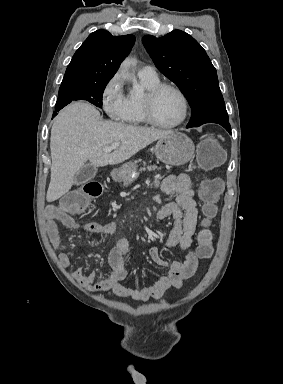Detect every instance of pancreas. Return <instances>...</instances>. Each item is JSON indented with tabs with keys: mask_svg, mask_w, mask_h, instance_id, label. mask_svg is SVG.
<instances>
[{
	"mask_svg": "<svg viewBox=\"0 0 283 384\" xmlns=\"http://www.w3.org/2000/svg\"><path fill=\"white\" fill-rule=\"evenodd\" d=\"M145 170L152 172V170H161V168H157V166H147V168H140V172H145Z\"/></svg>",
	"mask_w": 283,
	"mask_h": 384,
	"instance_id": "cf45deb5",
	"label": "pancreas"
}]
</instances>
